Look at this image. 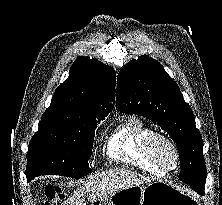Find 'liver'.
Returning a JSON list of instances; mask_svg holds the SVG:
<instances>
[{
  "label": "liver",
  "instance_id": "6515ba94",
  "mask_svg": "<svg viewBox=\"0 0 222 205\" xmlns=\"http://www.w3.org/2000/svg\"><path fill=\"white\" fill-rule=\"evenodd\" d=\"M153 179L125 169H112L95 174L87 179L82 186L63 203V205H87L84 195L89 193L88 201L108 197L110 194L132 186L151 182Z\"/></svg>",
  "mask_w": 222,
  "mask_h": 205
}]
</instances>
